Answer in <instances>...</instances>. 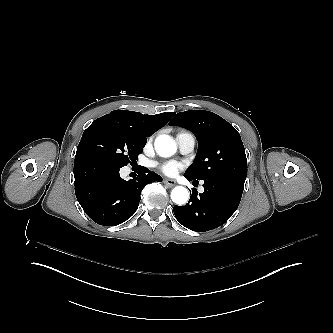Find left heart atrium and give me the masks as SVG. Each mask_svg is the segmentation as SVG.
<instances>
[{"mask_svg": "<svg viewBox=\"0 0 333 333\" xmlns=\"http://www.w3.org/2000/svg\"><path fill=\"white\" fill-rule=\"evenodd\" d=\"M160 169L167 176H175L183 169V165L175 161H169L164 163Z\"/></svg>", "mask_w": 333, "mask_h": 333, "instance_id": "left-heart-atrium-1", "label": "left heart atrium"}]
</instances>
